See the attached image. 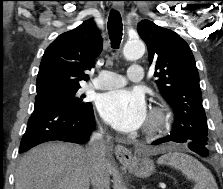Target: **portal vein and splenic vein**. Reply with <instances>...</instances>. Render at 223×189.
Listing matches in <instances>:
<instances>
[{
    "instance_id": "18ae733b",
    "label": "portal vein and splenic vein",
    "mask_w": 223,
    "mask_h": 189,
    "mask_svg": "<svg viewBox=\"0 0 223 189\" xmlns=\"http://www.w3.org/2000/svg\"><path fill=\"white\" fill-rule=\"evenodd\" d=\"M160 186H161V188H165L166 187L164 184H161Z\"/></svg>"
}]
</instances>
